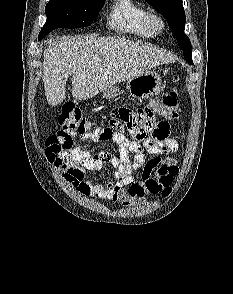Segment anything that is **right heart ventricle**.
I'll return each mask as SVG.
<instances>
[{
	"instance_id": "right-heart-ventricle-1",
	"label": "right heart ventricle",
	"mask_w": 233,
	"mask_h": 294,
	"mask_svg": "<svg viewBox=\"0 0 233 294\" xmlns=\"http://www.w3.org/2000/svg\"><path fill=\"white\" fill-rule=\"evenodd\" d=\"M147 8L136 0H113L108 16V25L123 34L152 38L156 33L148 24Z\"/></svg>"
}]
</instances>
